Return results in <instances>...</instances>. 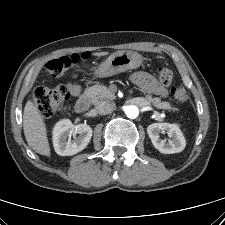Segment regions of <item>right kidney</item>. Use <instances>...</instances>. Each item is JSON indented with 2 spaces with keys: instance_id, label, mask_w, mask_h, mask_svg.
<instances>
[{
  "instance_id": "right-kidney-1",
  "label": "right kidney",
  "mask_w": 225,
  "mask_h": 225,
  "mask_svg": "<svg viewBox=\"0 0 225 225\" xmlns=\"http://www.w3.org/2000/svg\"><path fill=\"white\" fill-rule=\"evenodd\" d=\"M78 134V136H76ZM74 139L71 140V136ZM92 137V129L87 124L73 125L69 119H63L53 128V146L61 156H72L82 151Z\"/></svg>"
}]
</instances>
